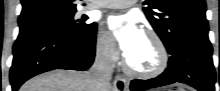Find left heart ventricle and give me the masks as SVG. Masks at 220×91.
I'll use <instances>...</instances> for the list:
<instances>
[{
	"instance_id": "left-heart-ventricle-1",
	"label": "left heart ventricle",
	"mask_w": 220,
	"mask_h": 91,
	"mask_svg": "<svg viewBox=\"0 0 220 91\" xmlns=\"http://www.w3.org/2000/svg\"><path fill=\"white\" fill-rule=\"evenodd\" d=\"M129 65L137 70H150L158 60L153 41L143 34L135 48L126 56Z\"/></svg>"
}]
</instances>
